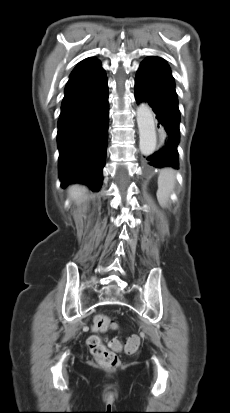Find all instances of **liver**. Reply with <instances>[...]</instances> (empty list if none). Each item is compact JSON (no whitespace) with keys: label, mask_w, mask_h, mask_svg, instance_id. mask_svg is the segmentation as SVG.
Masks as SVG:
<instances>
[{"label":"liver","mask_w":230,"mask_h":413,"mask_svg":"<svg viewBox=\"0 0 230 413\" xmlns=\"http://www.w3.org/2000/svg\"><path fill=\"white\" fill-rule=\"evenodd\" d=\"M86 193H87V189L79 185H73L69 188L70 196L78 202H81L84 200Z\"/></svg>","instance_id":"obj_1"}]
</instances>
